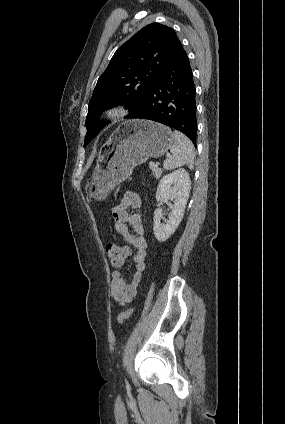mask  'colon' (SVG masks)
<instances>
[{
    "label": "colon",
    "mask_w": 285,
    "mask_h": 424,
    "mask_svg": "<svg viewBox=\"0 0 285 424\" xmlns=\"http://www.w3.org/2000/svg\"><path fill=\"white\" fill-rule=\"evenodd\" d=\"M106 254L113 265H121L127 257V248L117 244H109L106 247ZM133 310L127 309L119 314V323H125L131 316Z\"/></svg>",
    "instance_id": "1"
}]
</instances>
